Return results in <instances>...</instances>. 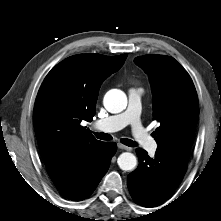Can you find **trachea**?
Returning <instances> with one entry per match:
<instances>
[{"mask_svg":"<svg viewBox=\"0 0 221 221\" xmlns=\"http://www.w3.org/2000/svg\"><path fill=\"white\" fill-rule=\"evenodd\" d=\"M96 135V137L98 139H101V140H112V136L109 135V134H106V133H94ZM121 143H123L124 145L126 146H129V147H136L137 144L136 142L130 140V139H127V138H123L121 139Z\"/></svg>","mask_w":221,"mask_h":221,"instance_id":"1","label":"trachea"}]
</instances>
